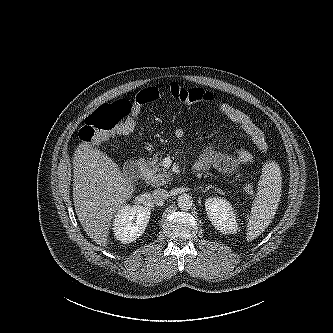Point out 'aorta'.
Returning a JSON list of instances; mask_svg holds the SVG:
<instances>
[{"instance_id":"1","label":"aorta","mask_w":333,"mask_h":333,"mask_svg":"<svg viewBox=\"0 0 333 333\" xmlns=\"http://www.w3.org/2000/svg\"><path fill=\"white\" fill-rule=\"evenodd\" d=\"M178 206L181 210H189L192 208L193 199L189 194H181L177 198Z\"/></svg>"}]
</instances>
